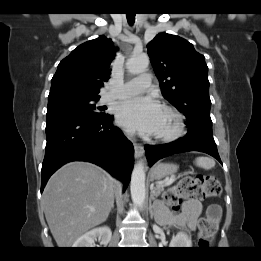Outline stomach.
I'll return each instance as SVG.
<instances>
[{"instance_id": "1", "label": "stomach", "mask_w": 261, "mask_h": 261, "mask_svg": "<svg viewBox=\"0 0 261 261\" xmlns=\"http://www.w3.org/2000/svg\"><path fill=\"white\" fill-rule=\"evenodd\" d=\"M178 166L170 163H159L155 165L151 171L150 176L153 180H160L166 176L176 173Z\"/></svg>"}]
</instances>
